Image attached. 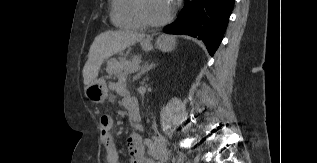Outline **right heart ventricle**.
Returning a JSON list of instances; mask_svg holds the SVG:
<instances>
[{
  "instance_id": "obj_1",
  "label": "right heart ventricle",
  "mask_w": 317,
  "mask_h": 163,
  "mask_svg": "<svg viewBox=\"0 0 317 163\" xmlns=\"http://www.w3.org/2000/svg\"><path fill=\"white\" fill-rule=\"evenodd\" d=\"M111 3V20L116 27L134 30L145 28L137 13L136 0H112Z\"/></svg>"
}]
</instances>
